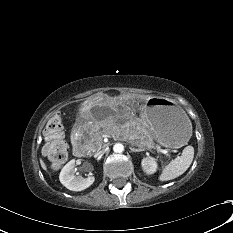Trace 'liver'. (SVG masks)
Masks as SVG:
<instances>
[{"mask_svg": "<svg viewBox=\"0 0 233 233\" xmlns=\"http://www.w3.org/2000/svg\"><path fill=\"white\" fill-rule=\"evenodd\" d=\"M40 164H41V167H42L44 170H47V167H46L45 163L43 162V160H40Z\"/></svg>", "mask_w": 233, "mask_h": 233, "instance_id": "liver-1", "label": "liver"}]
</instances>
